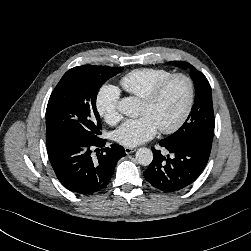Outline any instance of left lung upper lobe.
Segmentation results:
<instances>
[{"instance_id": "5c2ea615", "label": "left lung upper lobe", "mask_w": 251, "mask_h": 251, "mask_svg": "<svg viewBox=\"0 0 251 251\" xmlns=\"http://www.w3.org/2000/svg\"><path fill=\"white\" fill-rule=\"evenodd\" d=\"M168 64L192 69L190 75L196 94L194 105L185 123L174 134L163 140L174 143L185 139H198L211 146L214 134V112L211 87L207 78L187 62L170 61Z\"/></svg>"}]
</instances>
